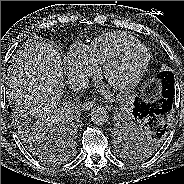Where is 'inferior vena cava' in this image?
<instances>
[{
	"instance_id": "obj_1",
	"label": "inferior vena cava",
	"mask_w": 184,
	"mask_h": 184,
	"mask_svg": "<svg viewBox=\"0 0 184 184\" xmlns=\"http://www.w3.org/2000/svg\"><path fill=\"white\" fill-rule=\"evenodd\" d=\"M68 83L73 91H82L88 86L89 80L81 75H72L68 78Z\"/></svg>"
}]
</instances>
